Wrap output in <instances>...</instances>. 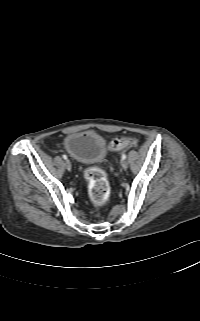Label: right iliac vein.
<instances>
[{
  "label": "right iliac vein",
  "mask_w": 200,
  "mask_h": 321,
  "mask_svg": "<svg viewBox=\"0 0 200 321\" xmlns=\"http://www.w3.org/2000/svg\"><path fill=\"white\" fill-rule=\"evenodd\" d=\"M65 167H66L68 170H71V162H70L68 159H66V161H65Z\"/></svg>",
  "instance_id": "right-iliac-vein-1"
}]
</instances>
